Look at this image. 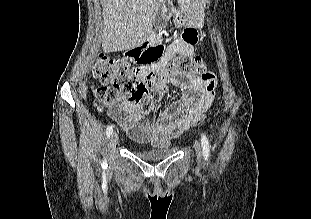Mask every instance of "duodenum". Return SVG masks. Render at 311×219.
I'll use <instances>...</instances> for the list:
<instances>
[{"label": "duodenum", "instance_id": "1", "mask_svg": "<svg viewBox=\"0 0 311 219\" xmlns=\"http://www.w3.org/2000/svg\"><path fill=\"white\" fill-rule=\"evenodd\" d=\"M155 39H156V35L153 34V35L148 39V41H146V42L141 46V48H142V49H147V48H148V45L151 44Z\"/></svg>", "mask_w": 311, "mask_h": 219}]
</instances>
